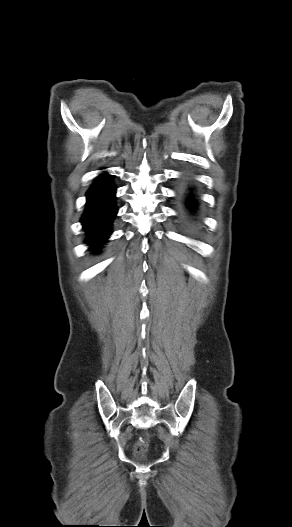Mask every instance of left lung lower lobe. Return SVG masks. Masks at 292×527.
Segmentation results:
<instances>
[{
	"label": "left lung lower lobe",
	"mask_w": 292,
	"mask_h": 527,
	"mask_svg": "<svg viewBox=\"0 0 292 527\" xmlns=\"http://www.w3.org/2000/svg\"><path fill=\"white\" fill-rule=\"evenodd\" d=\"M189 205H192V201L188 202Z\"/></svg>",
	"instance_id": "obj_1"
}]
</instances>
